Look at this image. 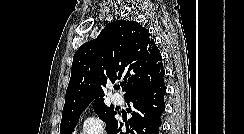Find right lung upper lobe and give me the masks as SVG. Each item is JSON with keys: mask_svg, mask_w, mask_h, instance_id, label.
Listing matches in <instances>:
<instances>
[{"mask_svg": "<svg viewBox=\"0 0 244 134\" xmlns=\"http://www.w3.org/2000/svg\"><path fill=\"white\" fill-rule=\"evenodd\" d=\"M161 60L154 39L138 22L108 24L74 54L62 119L79 115L92 101L104 103L108 82L123 78L124 97L155 82L165 74Z\"/></svg>", "mask_w": 244, "mask_h": 134, "instance_id": "obj_1", "label": "right lung upper lobe"}]
</instances>
